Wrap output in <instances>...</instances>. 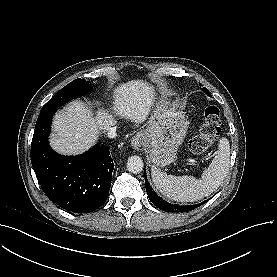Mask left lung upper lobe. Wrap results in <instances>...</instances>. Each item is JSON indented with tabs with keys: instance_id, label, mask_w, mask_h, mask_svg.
Returning <instances> with one entry per match:
<instances>
[{
	"instance_id": "left-lung-upper-lobe-1",
	"label": "left lung upper lobe",
	"mask_w": 277,
	"mask_h": 277,
	"mask_svg": "<svg viewBox=\"0 0 277 277\" xmlns=\"http://www.w3.org/2000/svg\"><path fill=\"white\" fill-rule=\"evenodd\" d=\"M202 91H204L208 96H211V94L209 93V91L205 87L202 88Z\"/></svg>"
}]
</instances>
